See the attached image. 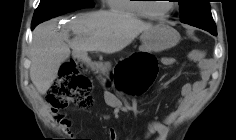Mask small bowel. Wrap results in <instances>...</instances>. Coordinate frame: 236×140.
Segmentation results:
<instances>
[{
    "instance_id": "c3829d8e",
    "label": "small bowel",
    "mask_w": 236,
    "mask_h": 140,
    "mask_svg": "<svg viewBox=\"0 0 236 140\" xmlns=\"http://www.w3.org/2000/svg\"><path fill=\"white\" fill-rule=\"evenodd\" d=\"M189 61L197 63L201 70V78L193 83H186L181 88L180 98L176 102L175 109L169 112L161 120H153L149 123L145 137H154V140H166L168 135V127L175 122L187 109L194 103L197 96L203 92L209 79V73L204 59L203 52L200 50H193L188 53ZM164 66H171L175 63V59L169 56H164L160 59ZM55 119L60 125L68 130L71 127V121L65 113L55 112ZM109 140H118V131L115 128L109 129ZM133 140V139H127Z\"/></svg>"
}]
</instances>
